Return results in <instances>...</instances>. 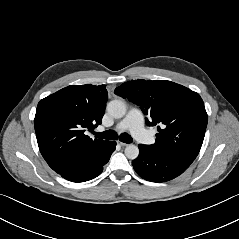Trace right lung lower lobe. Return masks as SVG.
<instances>
[{"label": "right lung lower lobe", "instance_id": "right-lung-lower-lobe-1", "mask_svg": "<svg viewBox=\"0 0 239 239\" xmlns=\"http://www.w3.org/2000/svg\"><path fill=\"white\" fill-rule=\"evenodd\" d=\"M116 142L108 141L94 156H74L69 158L60 171L63 178L72 182H85L97 177L114 152Z\"/></svg>", "mask_w": 239, "mask_h": 239}]
</instances>
